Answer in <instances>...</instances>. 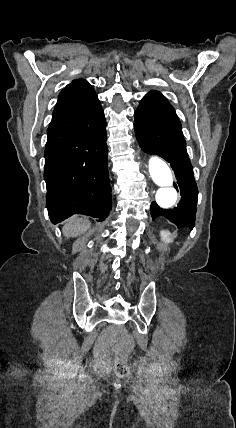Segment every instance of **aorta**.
Masks as SVG:
<instances>
[{
  "instance_id": "1",
  "label": "aorta",
  "mask_w": 236,
  "mask_h": 428,
  "mask_svg": "<svg viewBox=\"0 0 236 428\" xmlns=\"http://www.w3.org/2000/svg\"><path fill=\"white\" fill-rule=\"evenodd\" d=\"M149 173L160 188L156 192V202L163 209L171 208L177 201V191L173 187V176L169 166L160 158L153 156L148 163Z\"/></svg>"
}]
</instances>
